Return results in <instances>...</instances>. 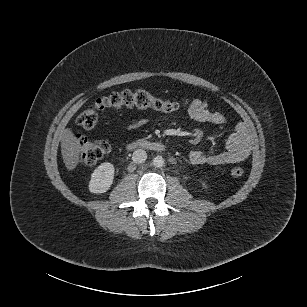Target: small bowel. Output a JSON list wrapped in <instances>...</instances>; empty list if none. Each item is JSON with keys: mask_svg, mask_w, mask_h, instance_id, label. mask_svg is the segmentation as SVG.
I'll return each instance as SVG.
<instances>
[{"mask_svg": "<svg viewBox=\"0 0 307 307\" xmlns=\"http://www.w3.org/2000/svg\"><path fill=\"white\" fill-rule=\"evenodd\" d=\"M189 116L198 122H208L215 125H226L228 119L222 112L211 108L209 103L202 99H194L189 108ZM149 122L146 117L132 118L127 123L128 130H136ZM252 144L246 126L239 122L234 126L233 132L226 141V150L208 153L202 150H193L190 161L194 165H223L233 164L245 160L251 152Z\"/></svg>", "mask_w": 307, "mask_h": 307, "instance_id": "obj_1", "label": "small bowel"}]
</instances>
